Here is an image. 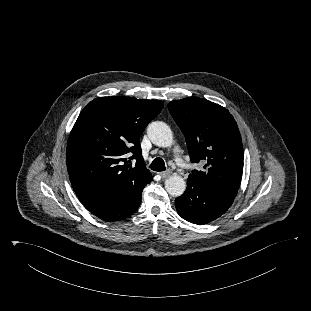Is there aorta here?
<instances>
[{
	"instance_id": "762f6f07",
	"label": "aorta",
	"mask_w": 311,
	"mask_h": 311,
	"mask_svg": "<svg viewBox=\"0 0 311 311\" xmlns=\"http://www.w3.org/2000/svg\"><path fill=\"white\" fill-rule=\"evenodd\" d=\"M147 134L151 142L159 147H170L173 144L172 131L164 122L150 123L147 127ZM165 189L171 196L179 197L186 190V182L181 176L173 175L166 179Z\"/></svg>"
}]
</instances>
